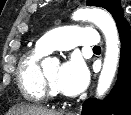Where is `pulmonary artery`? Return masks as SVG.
Instances as JSON below:
<instances>
[{"mask_svg":"<svg viewBox=\"0 0 131 115\" xmlns=\"http://www.w3.org/2000/svg\"><path fill=\"white\" fill-rule=\"evenodd\" d=\"M100 44L97 31L93 28L69 26L54 29L43 35L37 46L44 52L52 50H68L77 45L95 47Z\"/></svg>","mask_w":131,"mask_h":115,"instance_id":"pulmonary-artery-1","label":"pulmonary artery"}]
</instances>
